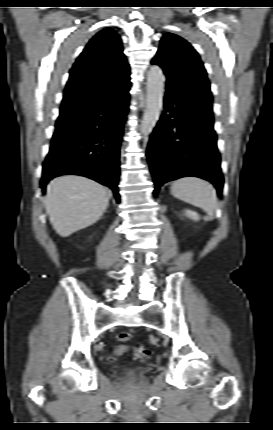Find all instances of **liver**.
I'll return each mask as SVG.
<instances>
[{
    "instance_id": "6515ba94",
    "label": "liver",
    "mask_w": 273,
    "mask_h": 430,
    "mask_svg": "<svg viewBox=\"0 0 273 430\" xmlns=\"http://www.w3.org/2000/svg\"><path fill=\"white\" fill-rule=\"evenodd\" d=\"M106 189L79 175L56 177L47 186L45 208L50 222L62 237L97 222L107 209Z\"/></svg>"
}]
</instances>
